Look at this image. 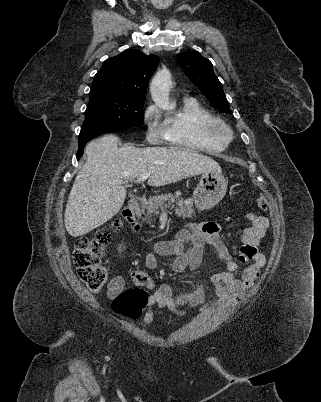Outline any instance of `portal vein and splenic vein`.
<instances>
[{
  "label": "portal vein and splenic vein",
  "instance_id": "1",
  "mask_svg": "<svg viewBox=\"0 0 321 402\" xmlns=\"http://www.w3.org/2000/svg\"><path fill=\"white\" fill-rule=\"evenodd\" d=\"M149 176H150V173H149V172L142 173V174H140V175L138 176L136 182H137V183L144 182ZM113 183H114V184H126L127 181H123V180H120V179H119V180H114Z\"/></svg>",
  "mask_w": 321,
  "mask_h": 402
}]
</instances>
